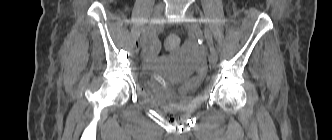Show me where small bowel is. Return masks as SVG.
I'll use <instances>...</instances> for the list:
<instances>
[{
	"instance_id": "small-bowel-1",
	"label": "small bowel",
	"mask_w": 332,
	"mask_h": 140,
	"mask_svg": "<svg viewBox=\"0 0 332 140\" xmlns=\"http://www.w3.org/2000/svg\"><path fill=\"white\" fill-rule=\"evenodd\" d=\"M186 47L188 48L189 46L186 45ZM158 50H159V43L156 39H153L150 43V45L145 48V55L147 56V61L148 62H151L154 60L155 56L157 55L158 53ZM199 60H200V69L201 71L203 72L204 71V67H203V64H202V61H201V58L199 57Z\"/></svg>"
}]
</instances>
